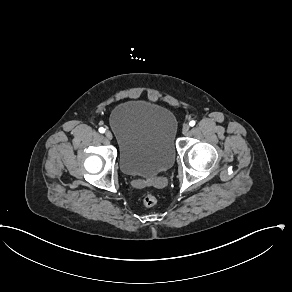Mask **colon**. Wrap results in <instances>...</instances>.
I'll return each mask as SVG.
<instances>
[{"label": "colon", "mask_w": 292, "mask_h": 292, "mask_svg": "<svg viewBox=\"0 0 292 292\" xmlns=\"http://www.w3.org/2000/svg\"><path fill=\"white\" fill-rule=\"evenodd\" d=\"M142 201L145 206L151 207L157 203V196L151 192H147L144 194Z\"/></svg>", "instance_id": "colon-1"}]
</instances>
